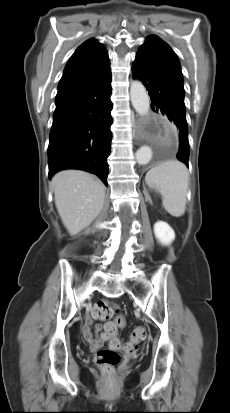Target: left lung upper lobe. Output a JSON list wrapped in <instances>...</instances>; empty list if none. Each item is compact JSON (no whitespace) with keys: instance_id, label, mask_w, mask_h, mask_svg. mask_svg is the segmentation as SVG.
<instances>
[{"instance_id":"5c2ea615","label":"left lung upper lobe","mask_w":230,"mask_h":413,"mask_svg":"<svg viewBox=\"0 0 230 413\" xmlns=\"http://www.w3.org/2000/svg\"><path fill=\"white\" fill-rule=\"evenodd\" d=\"M139 50H145L157 56L182 78L181 66L175 52L158 36H148Z\"/></svg>"}]
</instances>
